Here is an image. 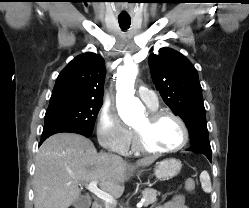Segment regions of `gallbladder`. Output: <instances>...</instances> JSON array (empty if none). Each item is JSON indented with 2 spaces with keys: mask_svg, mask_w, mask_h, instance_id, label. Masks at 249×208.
<instances>
[{
  "mask_svg": "<svg viewBox=\"0 0 249 208\" xmlns=\"http://www.w3.org/2000/svg\"><path fill=\"white\" fill-rule=\"evenodd\" d=\"M91 200L87 196H79L73 203L74 208H89Z\"/></svg>",
  "mask_w": 249,
  "mask_h": 208,
  "instance_id": "1",
  "label": "gallbladder"
}]
</instances>
